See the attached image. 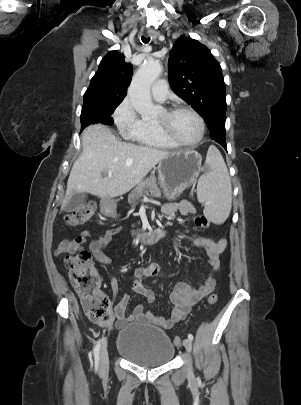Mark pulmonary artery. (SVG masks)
I'll return each instance as SVG.
<instances>
[{
    "mask_svg": "<svg viewBox=\"0 0 301 405\" xmlns=\"http://www.w3.org/2000/svg\"><path fill=\"white\" fill-rule=\"evenodd\" d=\"M152 97L159 101L163 102L168 97V85L165 80L156 81L151 88Z\"/></svg>",
    "mask_w": 301,
    "mask_h": 405,
    "instance_id": "pulmonary-artery-1",
    "label": "pulmonary artery"
}]
</instances>
